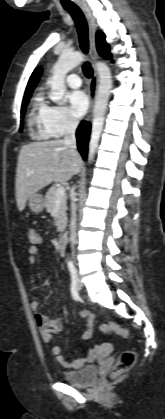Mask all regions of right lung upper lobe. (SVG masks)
<instances>
[{
    "label": "right lung upper lobe",
    "instance_id": "1",
    "mask_svg": "<svg viewBox=\"0 0 165 419\" xmlns=\"http://www.w3.org/2000/svg\"><path fill=\"white\" fill-rule=\"evenodd\" d=\"M41 73H42L41 67H37L34 70V72L32 73V75H31V77L29 79V82H28V85L26 87V90H25V94H24V98L23 99L31 96L32 91L35 88V86H36V84H37V82H38V80H39V78L41 76Z\"/></svg>",
    "mask_w": 165,
    "mask_h": 419
}]
</instances>
